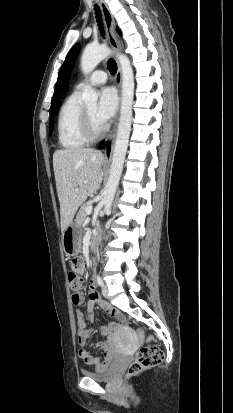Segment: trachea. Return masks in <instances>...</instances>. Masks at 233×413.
<instances>
[{"mask_svg": "<svg viewBox=\"0 0 233 413\" xmlns=\"http://www.w3.org/2000/svg\"><path fill=\"white\" fill-rule=\"evenodd\" d=\"M95 13H96V18H97V22H98L101 35L104 36V31H103V26H102V21H101V12L98 6H95ZM107 67L111 74H115L117 72V64L113 59L108 60Z\"/></svg>", "mask_w": 233, "mask_h": 413, "instance_id": "obj_1", "label": "trachea"}]
</instances>
